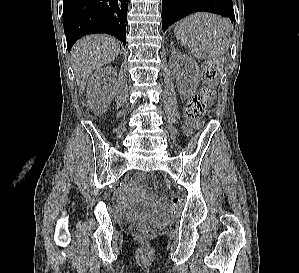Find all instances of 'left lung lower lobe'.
Segmentation results:
<instances>
[{
  "mask_svg": "<svg viewBox=\"0 0 299 273\" xmlns=\"http://www.w3.org/2000/svg\"><path fill=\"white\" fill-rule=\"evenodd\" d=\"M205 11L229 17L235 22L232 0H162V29L187 15Z\"/></svg>",
  "mask_w": 299,
  "mask_h": 273,
  "instance_id": "left-lung-lower-lobe-1",
  "label": "left lung lower lobe"
}]
</instances>
